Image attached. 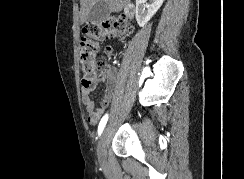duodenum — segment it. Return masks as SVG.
Returning a JSON list of instances; mask_svg holds the SVG:
<instances>
[{
  "label": "duodenum",
  "instance_id": "410a0bca",
  "mask_svg": "<svg viewBox=\"0 0 244 179\" xmlns=\"http://www.w3.org/2000/svg\"><path fill=\"white\" fill-rule=\"evenodd\" d=\"M134 13V8L133 6L129 5L125 8L124 10V14L127 16V17H131Z\"/></svg>",
  "mask_w": 244,
  "mask_h": 179
}]
</instances>
